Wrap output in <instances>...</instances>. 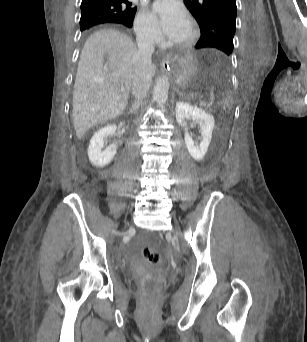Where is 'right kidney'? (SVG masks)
Listing matches in <instances>:
<instances>
[{"label": "right kidney", "mask_w": 307, "mask_h": 342, "mask_svg": "<svg viewBox=\"0 0 307 342\" xmlns=\"http://www.w3.org/2000/svg\"><path fill=\"white\" fill-rule=\"evenodd\" d=\"M116 130L117 126L110 124V126L101 128V130H98V132H95L94 136H92L88 148V158L92 166H96V168H104V166H108L111 160H113L117 152V144L108 146L106 150H102V148H104L105 138H107V136H111V134H115Z\"/></svg>", "instance_id": "obj_1"}]
</instances>
